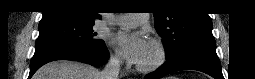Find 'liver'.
I'll use <instances>...</instances> for the list:
<instances>
[{"instance_id":"6515ba94","label":"liver","mask_w":255,"mask_h":79,"mask_svg":"<svg viewBox=\"0 0 255 79\" xmlns=\"http://www.w3.org/2000/svg\"><path fill=\"white\" fill-rule=\"evenodd\" d=\"M100 71L88 64L58 60L42 66L33 79H101Z\"/></svg>"}]
</instances>
